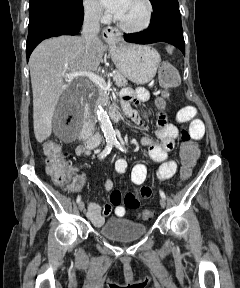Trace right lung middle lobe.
Segmentation results:
<instances>
[{"label":"right lung middle lobe","instance_id":"dd1d6c3e","mask_svg":"<svg viewBox=\"0 0 240 288\" xmlns=\"http://www.w3.org/2000/svg\"><path fill=\"white\" fill-rule=\"evenodd\" d=\"M29 25L40 17L55 11L81 12L82 0H29Z\"/></svg>","mask_w":240,"mask_h":288}]
</instances>
